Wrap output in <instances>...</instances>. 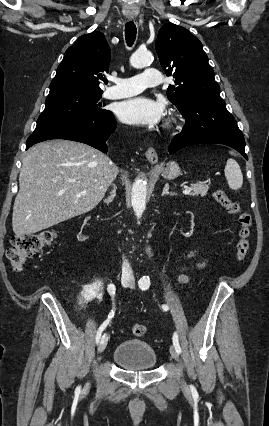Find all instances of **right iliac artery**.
Listing matches in <instances>:
<instances>
[{
  "mask_svg": "<svg viewBox=\"0 0 269 426\" xmlns=\"http://www.w3.org/2000/svg\"><path fill=\"white\" fill-rule=\"evenodd\" d=\"M107 290H108L109 294L111 295V297H112V298H114V297H115V291H116L115 285H114V284H109V285H108ZM113 317H114V311H113V310H111V312H110V313H109V315H108V319H107V320H105V321L102 323V325L99 327V329H98V331H97V333H96V343H97V344H98V342H99V340H100V338H101V334H102L103 330L107 327V325L109 324L110 320H111ZM80 389H81V387H80V386H78V387L76 388V392H77V393H79V392H80Z\"/></svg>",
  "mask_w": 269,
  "mask_h": 426,
  "instance_id": "1",
  "label": "right iliac artery"
}]
</instances>
